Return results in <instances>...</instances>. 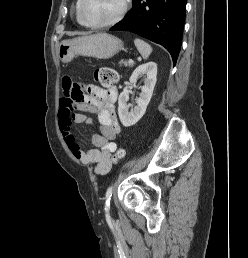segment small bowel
I'll list each match as a JSON object with an SVG mask.
<instances>
[{
  "mask_svg": "<svg viewBox=\"0 0 248 258\" xmlns=\"http://www.w3.org/2000/svg\"><path fill=\"white\" fill-rule=\"evenodd\" d=\"M62 85L64 96L60 100L59 125L64 141L76 160L95 165V173L105 175L112 168L113 153L117 149L114 140L120 132L115 111L118 90L115 87L90 86L88 95L76 99L77 85L69 79H64ZM75 109L78 112L74 113ZM88 114L97 116L100 131L91 133L94 148L85 151L77 142L73 126L80 123L92 125L93 120Z\"/></svg>",
  "mask_w": 248,
  "mask_h": 258,
  "instance_id": "small-bowel-1",
  "label": "small bowel"
}]
</instances>
